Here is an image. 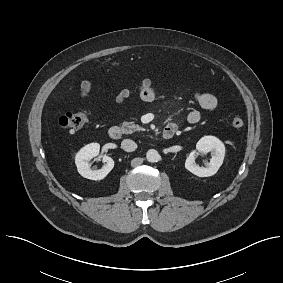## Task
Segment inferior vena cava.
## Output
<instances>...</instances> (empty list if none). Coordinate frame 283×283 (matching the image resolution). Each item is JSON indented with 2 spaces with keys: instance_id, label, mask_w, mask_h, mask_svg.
I'll return each instance as SVG.
<instances>
[{
  "instance_id": "inferior-vena-cava-1",
  "label": "inferior vena cava",
  "mask_w": 283,
  "mask_h": 283,
  "mask_svg": "<svg viewBox=\"0 0 283 283\" xmlns=\"http://www.w3.org/2000/svg\"><path fill=\"white\" fill-rule=\"evenodd\" d=\"M121 147L127 152H132L137 149V144L131 139H124L121 143Z\"/></svg>"
}]
</instances>
